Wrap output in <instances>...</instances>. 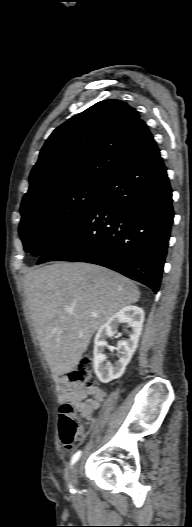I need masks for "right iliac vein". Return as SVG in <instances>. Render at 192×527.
Segmentation results:
<instances>
[{"label": "right iliac vein", "instance_id": "63e3f726", "mask_svg": "<svg viewBox=\"0 0 192 527\" xmlns=\"http://www.w3.org/2000/svg\"><path fill=\"white\" fill-rule=\"evenodd\" d=\"M77 472H78V465L76 464L72 467V470L70 472L71 483H73L74 485L77 484Z\"/></svg>", "mask_w": 192, "mask_h": 527}]
</instances>
